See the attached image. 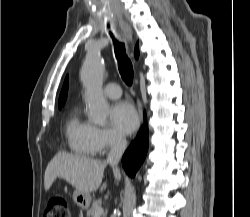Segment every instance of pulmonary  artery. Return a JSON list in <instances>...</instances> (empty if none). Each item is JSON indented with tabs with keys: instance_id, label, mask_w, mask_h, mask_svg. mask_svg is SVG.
<instances>
[{
	"instance_id": "pulmonary-artery-1",
	"label": "pulmonary artery",
	"mask_w": 250,
	"mask_h": 217,
	"mask_svg": "<svg viewBox=\"0 0 250 217\" xmlns=\"http://www.w3.org/2000/svg\"><path fill=\"white\" fill-rule=\"evenodd\" d=\"M104 95L110 99H118L122 95V90L118 84L109 83L104 88Z\"/></svg>"
}]
</instances>
